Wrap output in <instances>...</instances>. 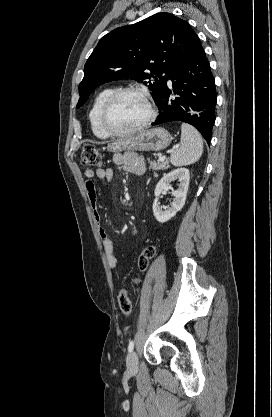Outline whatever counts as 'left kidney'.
Returning a JSON list of instances; mask_svg holds the SVG:
<instances>
[{
	"label": "left kidney",
	"mask_w": 272,
	"mask_h": 417,
	"mask_svg": "<svg viewBox=\"0 0 272 417\" xmlns=\"http://www.w3.org/2000/svg\"><path fill=\"white\" fill-rule=\"evenodd\" d=\"M176 179H178L180 184L178 189L172 192V195L174 196L173 202L167 210L163 211L158 202L159 196L164 190L169 189L170 183ZM189 180V170L186 168H178L167 174H164V176L158 182L154 191L155 200L153 203V213L158 222L165 223L169 221L176 215L178 211L183 208L186 201Z\"/></svg>",
	"instance_id": "obj_1"
}]
</instances>
